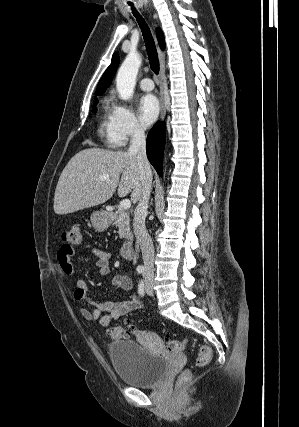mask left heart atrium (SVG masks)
Here are the masks:
<instances>
[{
	"label": "left heart atrium",
	"mask_w": 299,
	"mask_h": 427,
	"mask_svg": "<svg viewBox=\"0 0 299 427\" xmlns=\"http://www.w3.org/2000/svg\"><path fill=\"white\" fill-rule=\"evenodd\" d=\"M158 99L152 95H144L138 102L137 111L141 123L144 126H150L159 114Z\"/></svg>",
	"instance_id": "39dd6f15"
}]
</instances>
